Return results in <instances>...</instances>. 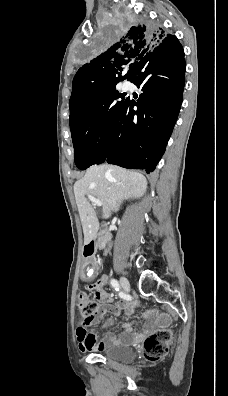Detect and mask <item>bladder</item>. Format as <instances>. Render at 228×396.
I'll return each mask as SVG.
<instances>
[{
	"label": "bladder",
	"mask_w": 228,
	"mask_h": 396,
	"mask_svg": "<svg viewBox=\"0 0 228 396\" xmlns=\"http://www.w3.org/2000/svg\"><path fill=\"white\" fill-rule=\"evenodd\" d=\"M99 354L109 360L120 363H130L135 358V352L133 348L126 344H116L109 346L103 350H100Z\"/></svg>",
	"instance_id": "bladder-1"
}]
</instances>
